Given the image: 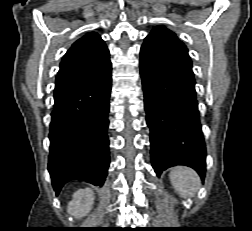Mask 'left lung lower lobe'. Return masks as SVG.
Instances as JSON below:
<instances>
[{
  "label": "left lung lower lobe",
  "instance_id": "1",
  "mask_svg": "<svg viewBox=\"0 0 252 231\" xmlns=\"http://www.w3.org/2000/svg\"><path fill=\"white\" fill-rule=\"evenodd\" d=\"M140 74L156 174L175 165H186L203 180L206 148L186 46L165 37L144 41Z\"/></svg>",
  "mask_w": 252,
  "mask_h": 231
}]
</instances>
